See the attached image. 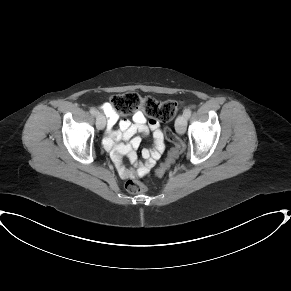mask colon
I'll return each instance as SVG.
<instances>
[{"mask_svg": "<svg viewBox=\"0 0 291 291\" xmlns=\"http://www.w3.org/2000/svg\"><path fill=\"white\" fill-rule=\"evenodd\" d=\"M110 104L117 111L140 110L151 119L168 122L176 115L180 103L174 100L158 101L153 96L141 97L135 92H125L111 97ZM165 137L169 141H176L177 136L170 128H165ZM169 169V164L162 163L156 169V174L164 175ZM125 188L133 194L143 193L147 190L145 179H135L126 182Z\"/></svg>", "mask_w": 291, "mask_h": 291, "instance_id": "obj_1", "label": "colon"}]
</instances>
